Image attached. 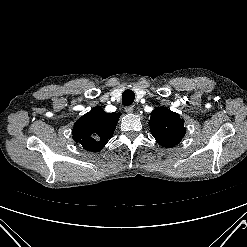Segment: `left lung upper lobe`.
<instances>
[{"label": "left lung upper lobe", "mask_w": 247, "mask_h": 247, "mask_svg": "<svg viewBox=\"0 0 247 247\" xmlns=\"http://www.w3.org/2000/svg\"><path fill=\"white\" fill-rule=\"evenodd\" d=\"M149 126L157 142L163 147L177 145L186 133L184 120L165 107H158L151 113Z\"/></svg>", "instance_id": "left-lung-upper-lobe-1"}]
</instances>
